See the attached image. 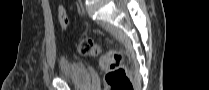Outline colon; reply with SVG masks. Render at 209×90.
<instances>
[{
	"label": "colon",
	"instance_id": "1",
	"mask_svg": "<svg viewBox=\"0 0 209 90\" xmlns=\"http://www.w3.org/2000/svg\"><path fill=\"white\" fill-rule=\"evenodd\" d=\"M58 21L62 29H67L69 19L63 6L58 8ZM78 51L83 56H98L101 70L105 74L108 90H133V84L124 66L122 53L103 48L90 38L82 39Z\"/></svg>",
	"mask_w": 209,
	"mask_h": 90
}]
</instances>
